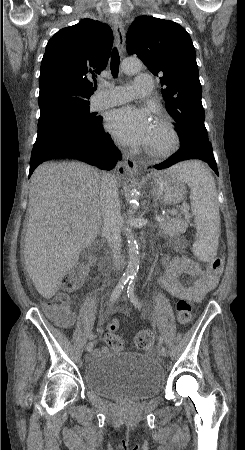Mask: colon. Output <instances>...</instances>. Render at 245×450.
<instances>
[{"mask_svg":"<svg viewBox=\"0 0 245 450\" xmlns=\"http://www.w3.org/2000/svg\"><path fill=\"white\" fill-rule=\"evenodd\" d=\"M92 265V261L88 258L77 263L71 273L66 275L61 282L62 291L57 293L50 301L46 303L48 316L61 327H71L74 323V317L68 309L70 298L67 293L77 288V282L86 277ZM223 268V260L216 257L210 262V271L219 274ZM177 319L181 324H186L191 319V305L186 299H180L176 303ZM118 323L112 320L108 323V332L105 336V342L113 349H121L123 346L122 339L115 335L113 331L117 329ZM154 339V335L149 330L139 332L135 337V346L139 348L149 347Z\"/></svg>","mask_w":245,"mask_h":450,"instance_id":"1","label":"colon"}]
</instances>
